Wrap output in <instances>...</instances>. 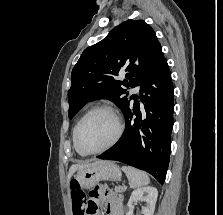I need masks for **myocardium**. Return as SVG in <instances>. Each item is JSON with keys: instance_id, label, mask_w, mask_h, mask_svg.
Segmentation results:
<instances>
[{"instance_id": "myocardium-1", "label": "myocardium", "mask_w": 223, "mask_h": 215, "mask_svg": "<svg viewBox=\"0 0 223 215\" xmlns=\"http://www.w3.org/2000/svg\"><path fill=\"white\" fill-rule=\"evenodd\" d=\"M99 111H104L109 113L115 120L116 123V133L113 137V139L110 141V143L108 145H106L104 148L98 150V151H94V152H83L79 149L78 145H77V134H78V130L81 126V124L93 113L99 112ZM123 133V125L121 122V119L118 115V113L109 105L106 104H99L96 105L94 107H92L88 112H86L84 114V116L77 122L74 132H73V144L74 147L77 151L78 154H80L81 156H96L98 154H101L109 149H112L117 142L120 140L121 136Z\"/></svg>"}]
</instances>
